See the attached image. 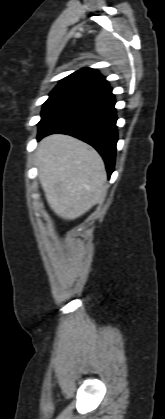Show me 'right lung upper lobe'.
Listing matches in <instances>:
<instances>
[{"mask_svg": "<svg viewBox=\"0 0 165 419\" xmlns=\"http://www.w3.org/2000/svg\"><path fill=\"white\" fill-rule=\"evenodd\" d=\"M109 87L105 78L96 70L83 68L62 79L55 89L72 91L87 96Z\"/></svg>", "mask_w": 165, "mask_h": 419, "instance_id": "right-lung-upper-lobe-1", "label": "right lung upper lobe"}]
</instances>
